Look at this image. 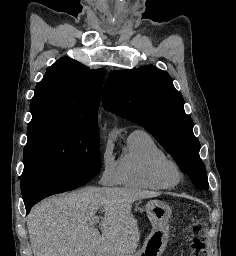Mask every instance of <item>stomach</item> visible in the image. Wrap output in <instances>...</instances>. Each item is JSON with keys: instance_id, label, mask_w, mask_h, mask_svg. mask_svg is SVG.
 Returning <instances> with one entry per match:
<instances>
[{"instance_id": "1", "label": "stomach", "mask_w": 236, "mask_h": 256, "mask_svg": "<svg viewBox=\"0 0 236 256\" xmlns=\"http://www.w3.org/2000/svg\"><path fill=\"white\" fill-rule=\"evenodd\" d=\"M145 208L152 224V231L142 249L130 256H161L168 242L172 211L168 205L159 200L149 201Z\"/></svg>"}]
</instances>
